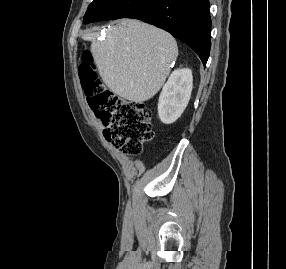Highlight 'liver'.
<instances>
[{
  "instance_id": "obj_1",
  "label": "liver",
  "mask_w": 286,
  "mask_h": 269,
  "mask_svg": "<svg viewBox=\"0 0 286 269\" xmlns=\"http://www.w3.org/2000/svg\"><path fill=\"white\" fill-rule=\"evenodd\" d=\"M97 33H86L90 52L107 87L135 103L151 99L170 73L178 55L175 39L155 26L134 19H123L112 26L104 41Z\"/></svg>"
}]
</instances>
